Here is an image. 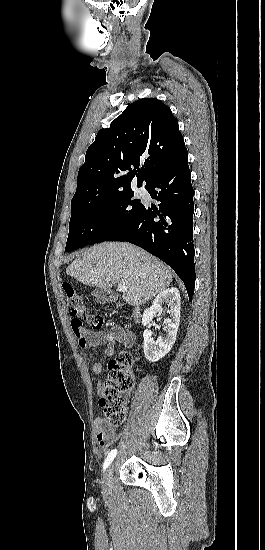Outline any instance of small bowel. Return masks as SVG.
<instances>
[{
	"label": "small bowel",
	"mask_w": 265,
	"mask_h": 550,
	"mask_svg": "<svg viewBox=\"0 0 265 550\" xmlns=\"http://www.w3.org/2000/svg\"><path fill=\"white\" fill-rule=\"evenodd\" d=\"M74 335L78 340L81 348L100 346L106 344L104 351L106 357H111L115 351V344L121 343L126 347H132L134 344V336L131 332L118 328L115 330H95L84 327L74 328ZM92 372L99 376L102 373L103 367L99 362L93 361L90 363ZM97 392L102 393L103 385L98 378L96 381ZM94 430L96 438L101 447L107 448L110 444L117 440V433L114 428L108 427L101 417H97L94 421Z\"/></svg>",
	"instance_id": "1"
}]
</instances>
